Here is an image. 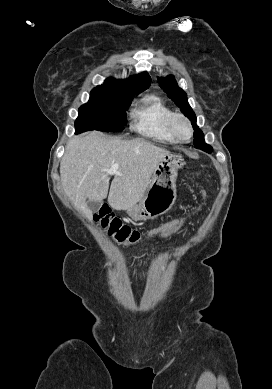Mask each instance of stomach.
Instances as JSON below:
<instances>
[{
  "instance_id": "stomach-1",
  "label": "stomach",
  "mask_w": 272,
  "mask_h": 389,
  "mask_svg": "<svg viewBox=\"0 0 272 389\" xmlns=\"http://www.w3.org/2000/svg\"><path fill=\"white\" fill-rule=\"evenodd\" d=\"M185 162L181 155L168 154L157 165L149 187L141 200L127 209L134 220H147L169 211L176 201V179L178 169Z\"/></svg>"
}]
</instances>
